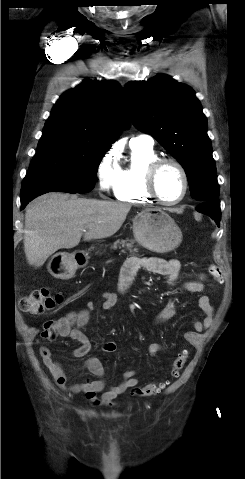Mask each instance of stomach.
I'll return each instance as SVG.
<instances>
[{
  "mask_svg": "<svg viewBox=\"0 0 245 479\" xmlns=\"http://www.w3.org/2000/svg\"><path fill=\"white\" fill-rule=\"evenodd\" d=\"M135 240L143 247L165 253L174 250L182 241V232L175 221L165 212L146 209L133 219ZM52 276L70 279L77 269V262L72 254L60 252L51 257L47 265Z\"/></svg>",
  "mask_w": 245,
  "mask_h": 479,
  "instance_id": "stomach-1",
  "label": "stomach"
}]
</instances>
